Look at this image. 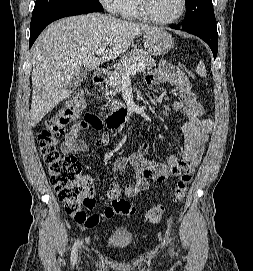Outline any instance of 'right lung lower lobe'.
Segmentation results:
<instances>
[{
    "instance_id": "1",
    "label": "right lung lower lobe",
    "mask_w": 253,
    "mask_h": 271,
    "mask_svg": "<svg viewBox=\"0 0 253 271\" xmlns=\"http://www.w3.org/2000/svg\"><path fill=\"white\" fill-rule=\"evenodd\" d=\"M88 12H84L81 10H67L62 11L58 13L51 14L44 19L37 22L33 27H30V39H29V47H31L36 40V38L39 36V34L42 32V30L51 22L58 20L63 17L67 16H74V15H81V14H87Z\"/></svg>"
}]
</instances>
